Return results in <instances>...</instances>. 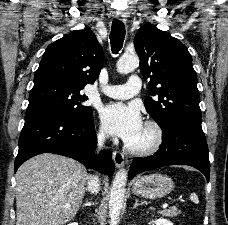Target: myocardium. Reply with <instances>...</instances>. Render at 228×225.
Segmentation results:
<instances>
[{
  "label": "myocardium",
  "instance_id": "obj_1",
  "mask_svg": "<svg viewBox=\"0 0 228 225\" xmlns=\"http://www.w3.org/2000/svg\"><path fill=\"white\" fill-rule=\"evenodd\" d=\"M144 129L150 134L151 142L146 146H136L131 143L125 145L128 152L137 155H151L157 152L164 141V135L160 125L154 121H147Z\"/></svg>",
  "mask_w": 228,
  "mask_h": 225
}]
</instances>
